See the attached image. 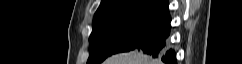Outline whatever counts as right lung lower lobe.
I'll return each mask as SVG.
<instances>
[{
  "mask_svg": "<svg viewBox=\"0 0 242 64\" xmlns=\"http://www.w3.org/2000/svg\"><path fill=\"white\" fill-rule=\"evenodd\" d=\"M164 22L138 47L145 54L153 58L161 59L164 64H177L176 53L174 49L169 48V34L171 18L169 13L165 14Z\"/></svg>",
  "mask_w": 242,
  "mask_h": 64,
  "instance_id": "1",
  "label": "right lung lower lobe"
}]
</instances>
